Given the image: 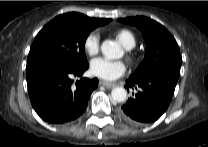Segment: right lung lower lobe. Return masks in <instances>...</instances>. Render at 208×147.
I'll list each match as a JSON object with an SVG mask.
<instances>
[{
	"label": "right lung lower lobe",
	"instance_id": "1",
	"mask_svg": "<svg viewBox=\"0 0 208 147\" xmlns=\"http://www.w3.org/2000/svg\"><path fill=\"white\" fill-rule=\"evenodd\" d=\"M87 66L78 67L59 61L41 62L26 67L29 97L36 113L52 124L67 123L86 109L98 79L81 78Z\"/></svg>",
	"mask_w": 208,
	"mask_h": 147
}]
</instances>
